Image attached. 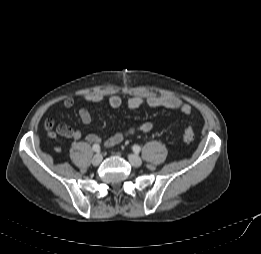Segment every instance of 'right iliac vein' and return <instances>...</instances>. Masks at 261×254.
<instances>
[{"instance_id": "obj_1", "label": "right iliac vein", "mask_w": 261, "mask_h": 254, "mask_svg": "<svg viewBox=\"0 0 261 254\" xmlns=\"http://www.w3.org/2000/svg\"><path fill=\"white\" fill-rule=\"evenodd\" d=\"M102 159H103L102 155L100 153H98L93 156L91 162L94 166H98L101 163Z\"/></svg>"}]
</instances>
